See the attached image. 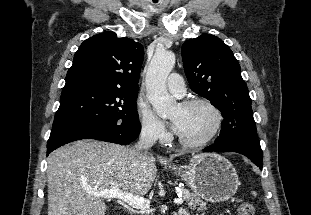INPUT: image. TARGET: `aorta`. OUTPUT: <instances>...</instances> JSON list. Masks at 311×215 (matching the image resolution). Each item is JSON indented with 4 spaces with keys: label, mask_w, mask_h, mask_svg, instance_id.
Here are the masks:
<instances>
[{
    "label": "aorta",
    "mask_w": 311,
    "mask_h": 215,
    "mask_svg": "<svg viewBox=\"0 0 311 215\" xmlns=\"http://www.w3.org/2000/svg\"><path fill=\"white\" fill-rule=\"evenodd\" d=\"M175 65V54L171 51H159L153 56L145 78L147 99L156 114L168 117L176 104L166 89V79Z\"/></svg>",
    "instance_id": "obj_1"
}]
</instances>
